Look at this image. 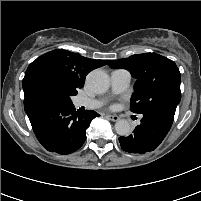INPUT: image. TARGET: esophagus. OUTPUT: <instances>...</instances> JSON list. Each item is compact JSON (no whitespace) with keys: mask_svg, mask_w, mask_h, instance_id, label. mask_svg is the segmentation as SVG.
<instances>
[{"mask_svg":"<svg viewBox=\"0 0 201 201\" xmlns=\"http://www.w3.org/2000/svg\"><path fill=\"white\" fill-rule=\"evenodd\" d=\"M107 118L109 120L113 121V122H117L120 119L119 116H117V115H111V114H108Z\"/></svg>","mask_w":201,"mask_h":201,"instance_id":"34e87169","label":"esophagus"}]
</instances>
